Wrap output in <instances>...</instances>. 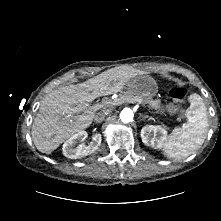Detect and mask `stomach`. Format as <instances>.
I'll return each mask as SVG.
<instances>
[{"mask_svg": "<svg viewBox=\"0 0 221 221\" xmlns=\"http://www.w3.org/2000/svg\"><path fill=\"white\" fill-rule=\"evenodd\" d=\"M126 89L137 95H148L149 93H155V90L143 76L136 77L129 81L126 85Z\"/></svg>", "mask_w": 221, "mask_h": 221, "instance_id": "obj_1", "label": "stomach"}]
</instances>
